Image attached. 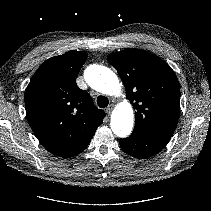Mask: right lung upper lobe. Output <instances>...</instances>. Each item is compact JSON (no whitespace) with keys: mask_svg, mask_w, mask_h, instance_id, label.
<instances>
[{"mask_svg":"<svg viewBox=\"0 0 211 211\" xmlns=\"http://www.w3.org/2000/svg\"><path fill=\"white\" fill-rule=\"evenodd\" d=\"M87 53L69 51L44 61L25 90L28 122L41 144L59 157L82 152L105 113L76 84Z\"/></svg>","mask_w":211,"mask_h":211,"instance_id":"obj_1","label":"right lung upper lobe"}]
</instances>
